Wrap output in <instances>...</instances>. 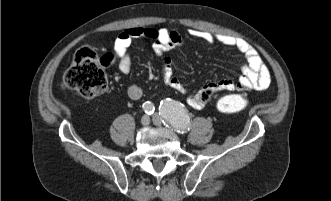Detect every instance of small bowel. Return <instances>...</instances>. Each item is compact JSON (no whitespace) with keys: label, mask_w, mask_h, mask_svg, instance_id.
<instances>
[{"label":"small bowel","mask_w":331,"mask_h":201,"mask_svg":"<svg viewBox=\"0 0 331 201\" xmlns=\"http://www.w3.org/2000/svg\"><path fill=\"white\" fill-rule=\"evenodd\" d=\"M188 33L207 43H219L233 47L244 57L241 67V76L236 80L221 79L204 85L197 92L188 95L187 102L193 108H202L212 96L220 91L257 90L262 91L269 87L271 76L267 66L263 63L257 51L245 40L225 34H215L208 31L191 29ZM148 39L153 41L156 53L182 45L183 38L176 31L166 28L132 27L119 33L114 41V55L118 59L119 70L128 74L131 70L130 46L135 39ZM162 78L164 83L182 94H188V89L174 75L171 61L163 57ZM127 95L132 100H138L143 95V89L137 84L127 88Z\"/></svg>","instance_id":"obj_1"}]
</instances>
